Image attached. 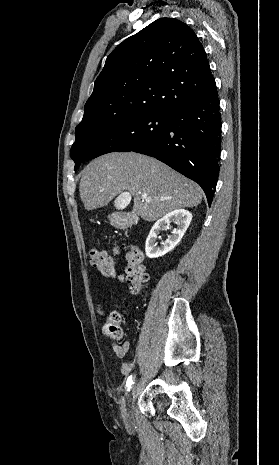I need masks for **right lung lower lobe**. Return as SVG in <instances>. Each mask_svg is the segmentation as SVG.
<instances>
[{
	"label": "right lung lower lobe",
	"instance_id": "obj_1",
	"mask_svg": "<svg viewBox=\"0 0 279 465\" xmlns=\"http://www.w3.org/2000/svg\"><path fill=\"white\" fill-rule=\"evenodd\" d=\"M215 81L200 98L167 112L166 129L144 146L128 148L152 156L197 182L211 205L219 175L221 115Z\"/></svg>",
	"mask_w": 279,
	"mask_h": 465
}]
</instances>
